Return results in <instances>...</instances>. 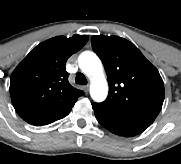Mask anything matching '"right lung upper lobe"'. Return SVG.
Returning <instances> with one entry per match:
<instances>
[{"label":"right lung upper lobe","instance_id":"1","mask_svg":"<svg viewBox=\"0 0 181 164\" xmlns=\"http://www.w3.org/2000/svg\"><path fill=\"white\" fill-rule=\"evenodd\" d=\"M88 41L86 35L58 36L40 43L16 67L10 96L18 115L42 126L67 116L83 91L68 82L67 59Z\"/></svg>","mask_w":181,"mask_h":164}]
</instances>
